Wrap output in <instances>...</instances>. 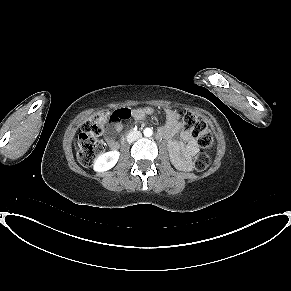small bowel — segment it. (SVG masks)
I'll return each instance as SVG.
<instances>
[{"mask_svg":"<svg viewBox=\"0 0 291 291\" xmlns=\"http://www.w3.org/2000/svg\"><path fill=\"white\" fill-rule=\"evenodd\" d=\"M152 111L153 109L150 107L137 108L132 111V116L140 120L152 113ZM164 114L166 122L164 126L159 129L158 137L168 141L173 161L184 170H189L190 166L187 160L197 153L198 145L191 133L184 128L176 110L167 108L164 110ZM123 127L124 125L121 120L112 121V127L106 135V142L111 149L117 147L115 134L122 131ZM176 135H179L183 143L174 140Z\"/></svg>","mask_w":291,"mask_h":291,"instance_id":"obj_1","label":"small bowel"}]
</instances>
